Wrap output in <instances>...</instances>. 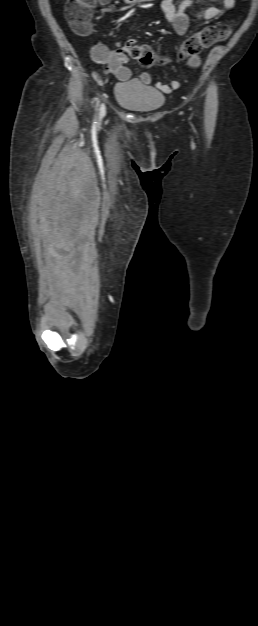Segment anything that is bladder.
I'll use <instances>...</instances> for the list:
<instances>
[{
    "instance_id": "1",
    "label": "bladder",
    "mask_w": 258,
    "mask_h": 626,
    "mask_svg": "<svg viewBox=\"0 0 258 626\" xmlns=\"http://www.w3.org/2000/svg\"><path fill=\"white\" fill-rule=\"evenodd\" d=\"M114 97L119 105L138 112L156 110L165 101V97L160 91L145 85L138 79L117 83L114 88Z\"/></svg>"
}]
</instances>
